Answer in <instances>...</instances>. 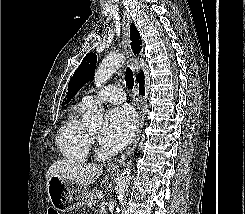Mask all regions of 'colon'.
Listing matches in <instances>:
<instances>
[{"mask_svg":"<svg viewBox=\"0 0 245 214\" xmlns=\"http://www.w3.org/2000/svg\"><path fill=\"white\" fill-rule=\"evenodd\" d=\"M49 214H59L56 210H53V209H51L50 211H49Z\"/></svg>","mask_w":245,"mask_h":214,"instance_id":"colon-1","label":"colon"}]
</instances>
